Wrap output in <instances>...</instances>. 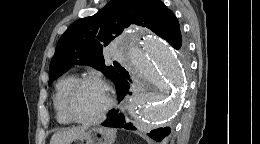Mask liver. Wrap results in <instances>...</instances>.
I'll return each instance as SVG.
<instances>
[{"mask_svg": "<svg viewBox=\"0 0 260 144\" xmlns=\"http://www.w3.org/2000/svg\"><path fill=\"white\" fill-rule=\"evenodd\" d=\"M85 127L64 129L53 134L50 144H70L74 139L84 134Z\"/></svg>", "mask_w": 260, "mask_h": 144, "instance_id": "liver-1", "label": "liver"}]
</instances>
